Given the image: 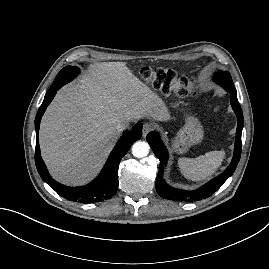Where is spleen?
<instances>
[{"label": "spleen", "instance_id": "1", "mask_svg": "<svg viewBox=\"0 0 269 269\" xmlns=\"http://www.w3.org/2000/svg\"><path fill=\"white\" fill-rule=\"evenodd\" d=\"M225 151H210L196 158L182 157L178 159L180 172L186 179L204 181L213 175L221 166Z\"/></svg>", "mask_w": 269, "mask_h": 269}]
</instances>
